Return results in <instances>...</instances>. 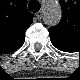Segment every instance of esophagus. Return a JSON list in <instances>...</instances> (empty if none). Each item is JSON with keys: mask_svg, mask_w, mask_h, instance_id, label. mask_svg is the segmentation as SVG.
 I'll list each match as a JSON object with an SVG mask.
<instances>
[{"mask_svg": "<svg viewBox=\"0 0 80 80\" xmlns=\"http://www.w3.org/2000/svg\"><path fill=\"white\" fill-rule=\"evenodd\" d=\"M42 15H43L42 11H39L38 13H36L37 19L41 20L42 19Z\"/></svg>", "mask_w": 80, "mask_h": 80, "instance_id": "1", "label": "esophagus"}]
</instances>
